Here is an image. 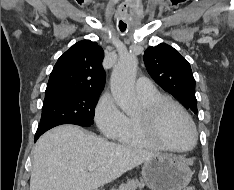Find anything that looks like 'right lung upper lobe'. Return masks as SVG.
Here are the masks:
<instances>
[{"label": "right lung upper lobe", "instance_id": "right-lung-upper-lobe-1", "mask_svg": "<svg viewBox=\"0 0 234 190\" xmlns=\"http://www.w3.org/2000/svg\"><path fill=\"white\" fill-rule=\"evenodd\" d=\"M103 49L90 40L75 43L56 62L46 89L100 93L104 88Z\"/></svg>", "mask_w": 234, "mask_h": 190}]
</instances>
